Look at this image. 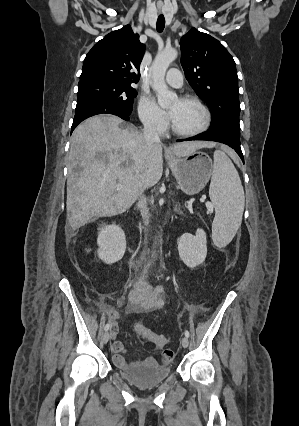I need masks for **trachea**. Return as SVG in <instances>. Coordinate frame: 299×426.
Returning a JSON list of instances; mask_svg holds the SVG:
<instances>
[{
    "label": "trachea",
    "instance_id": "obj_1",
    "mask_svg": "<svg viewBox=\"0 0 299 426\" xmlns=\"http://www.w3.org/2000/svg\"><path fill=\"white\" fill-rule=\"evenodd\" d=\"M156 27L158 32H162L165 27V18L162 14L158 16Z\"/></svg>",
    "mask_w": 299,
    "mask_h": 426
}]
</instances>
